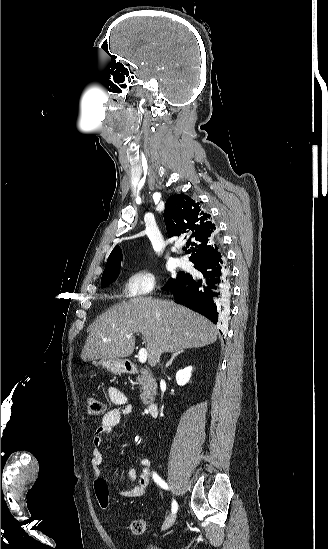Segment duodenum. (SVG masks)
<instances>
[{
  "label": "duodenum",
  "mask_w": 328,
  "mask_h": 549,
  "mask_svg": "<svg viewBox=\"0 0 328 549\" xmlns=\"http://www.w3.org/2000/svg\"><path fill=\"white\" fill-rule=\"evenodd\" d=\"M127 370H128L130 373H135V372L138 371V369H137L135 366H133V365H129V366L127 367ZM158 410H159V406H158V404H157L156 402H151V403H149V405H148V412H149V414H150L151 416H153V417L157 416Z\"/></svg>",
  "instance_id": "obj_1"
}]
</instances>
